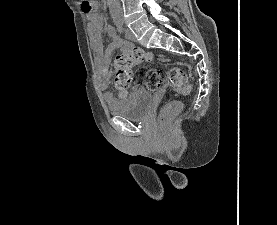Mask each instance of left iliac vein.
Returning <instances> with one entry per match:
<instances>
[{
    "label": "left iliac vein",
    "mask_w": 277,
    "mask_h": 225,
    "mask_svg": "<svg viewBox=\"0 0 277 225\" xmlns=\"http://www.w3.org/2000/svg\"><path fill=\"white\" fill-rule=\"evenodd\" d=\"M124 32H125V36H126L127 39L132 40V41H136V37L130 29L125 28Z\"/></svg>",
    "instance_id": "4c4485c4"
}]
</instances>
